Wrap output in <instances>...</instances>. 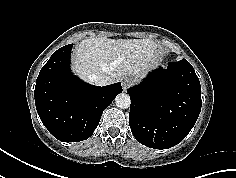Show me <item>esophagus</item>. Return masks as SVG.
Instances as JSON below:
<instances>
[{
    "label": "esophagus",
    "mask_w": 236,
    "mask_h": 178,
    "mask_svg": "<svg viewBox=\"0 0 236 178\" xmlns=\"http://www.w3.org/2000/svg\"><path fill=\"white\" fill-rule=\"evenodd\" d=\"M134 82V79L129 76H124L121 78V85L124 90H126L130 85H132Z\"/></svg>",
    "instance_id": "esophagus-1"
}]
</instances>
